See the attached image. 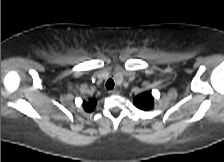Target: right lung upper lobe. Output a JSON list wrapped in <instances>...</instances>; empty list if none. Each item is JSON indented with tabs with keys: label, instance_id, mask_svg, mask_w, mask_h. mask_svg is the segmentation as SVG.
<instances>
[{
	"label": "right lung upper lobe",
	"instance_id": "1",
	"mask_svg": "<svg viewBox=\"0 0 224 162\" xmlns=\"http://www.w3.org/2000/svg\"><path fill=\"white\" fill-rule=\"evenodd\" d=\"M96 101L94 99L90 100L89 102H84L83 107L87 112H90L94 109Z\"/></svg>",
	"mask_w": 224,
	"mask_h": 162
}]
</instances>
